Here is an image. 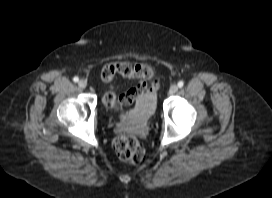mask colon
<instances>
[{
	"mask_svg": "<svg viewBox=\"0 0 272 198\" xmlns=\"http://www.w3.org/2000/svg\"><path fill=\"white\" fill-rule=\"evenodd\" d=\"M112 73L113 70L111 68H105L103 71V78L107 79ZM113 147L117 156L125 162L138 164L145 159L144 148L133 135L122 134L118 136L113 142Z\"/></svg>",
	"mask_w": 272,
	"mask_h": 198,
	"instance_id": "1",
	"label": "colon"
}]
</instances>
